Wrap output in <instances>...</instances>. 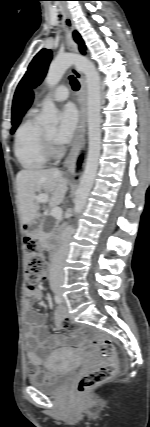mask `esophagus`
Masks as SVG:
<instances>
[{
  "mask_svg": "<svg viewBox=\"0 0 150 427\" xmlns=\"http://www.w3.org/2000/svg\"><path fill=\"white\" fill-rule=\"evenodd\" d=\"M64 12V23H65V36H66V47L69 52H77L76 44L73 40L74 23L68 13L63 8ZM71 71L77 77L80 83V89L78 93V105H79V124L71 146V149L64 161V172L68 177H72L75 170V163L77 155L79 153L81 144L84 140L86 132V121H87V107H86V79L82 72H80L75 66L71 67Z\"/></svg>",
  "mask_w": 150,
  "mask_h": 427,
  "instance_id": "obj_1",
  "label": "esophagus"
}]
</instances>
